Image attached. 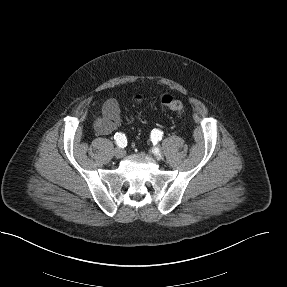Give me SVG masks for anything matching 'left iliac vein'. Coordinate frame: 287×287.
Returning <instances> with one entry per match:
<instances>
[{"label": "left iliac vein", "instance_id": "obj_1", "mask_svg": "<svg viewBox=\"0 0 287 287\" xmlns=\"http://www.w3.org/2000/svg\"><path fill=\"white\" fill-rule=\"evenodd\" d=\"M155 150H156L155 153H156L157 159L159 160L161 158V151L159 147H156Z\"/></svg>", "mask_w": 287, "mask_h": 287}]
</instances>
